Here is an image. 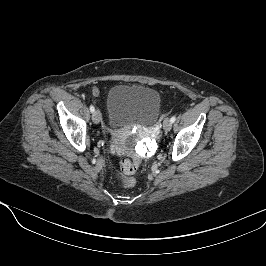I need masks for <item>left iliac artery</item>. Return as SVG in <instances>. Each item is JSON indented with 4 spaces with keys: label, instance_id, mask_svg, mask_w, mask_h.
Masks as SVG:
<instances>
[{
    "label": "left iliac artery",
    "instance_id": "44dca946",
    "mask_svg": "<svg viewBox=\"0 0 266 266\" xmlns=\"http://www.w3.org/2000/svg\"><path fill=\"white\" fill-rule=\"evenodd\" d=\"M175 120H176V116H172L171 119H170V121H171L172 123H174Z\"/></svg>",
    "mask_w": 266,
    "mask_h": 266
}]
</instances>
